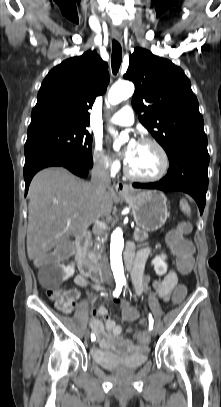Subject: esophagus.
I'll return each mask as SVG.
<instances>
[{"label": "esophagus", "mask_w": 221, "mask_h": 407, "mask_svg": "<svg viewBox=\"0 0 221 407\" xmlns=\"http://www.w3.org/2000/svg\"><path fill=\"white\" fill-rule=\"evenodd\" d=\"M113 38L117 41H121V36L120 35H114ZM115 190L118 194H128L130 192V188L127 184L118 182L115 185Z\"/></svg>", "instance_id": "1"}]
</instances>
